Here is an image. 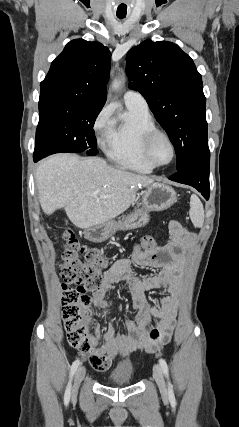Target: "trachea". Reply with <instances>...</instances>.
<instances>
[{
  "mask_svg": "<svg viewBox=\"0 0 239 427\" xmlns=\"http://www.w3.org/2000/svg\"><path fill=\"white\" fill-rule=\"evenodd\" d=\"M117 17H118L119 19H123V18H125V16H121V15H117Z\"/></svg>",
  "mask_w": 239,
  "mask_h": 427,
  "instance_id": "3493384b",
  "label": "trachea"
}]
</instances>
